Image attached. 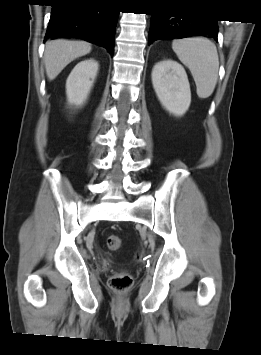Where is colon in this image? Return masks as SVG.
Masks as SVG:
<instances>
[{"instance_id":"colon-1","label":"colon","mask_w":261,"mask_h":355,"mask_svg":"<svg viewBox=\"0 0 261 355\" xmlns=\"http://www.w3.org/2000/svg\"><path fill=\"white\" fill-rule=\"evenodd\" d=\"M106 243L110 250L116 251L120 249L122 240L118 235H110L107 238ZM132 284V276L125 272L116 273L109 279V286L117 292L127 291L132 286Z\"/></svg>"}]
</instances>
